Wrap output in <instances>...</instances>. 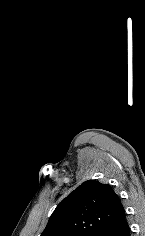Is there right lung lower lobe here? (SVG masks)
<instances>
[{"instance_id": "98d812e1", "label": "right lung lower lobe", "mask_w": 145, "mask_h": 236, "mask_svg": "<svg viewBox=\"0 0 145 236\" xmlns=\"http://www.w3.org/2000/svg\"><path fill=\"white\" fill-rule=\"evenodd\" d=\"M130 227L126 215L103 229L97 236H130Z\"/></svg>"}]
</instances>
